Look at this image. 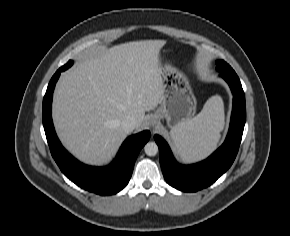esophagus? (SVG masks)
Wrapping results in <instances>:
<instances>
[{
	"mask_svg": "<svg viewBox=\"0 0 290 236\" xmlns=\"http://www.w3.org/2000/svg\"><path fill=\"white\" fill-rule=\"evenodd\" d=\"M149 124H150V126H153L154 127V125L156 124V121L154 120V118H151L149 120Z\"/></svg>",
	"mask_w": 290,
	"mask_h": 236,
	"instance_id": "obj_1",
	"label": "esophagus"
}]
</instances>
